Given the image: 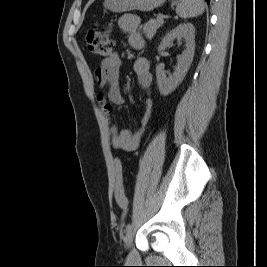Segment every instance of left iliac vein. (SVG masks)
I'll return each instance as SVG.
<instances>
[{
  "instance_id": "left-iliac-vein-1",
  "label": "left iliac vein",
  "mask_w": 267,
  "mask_h": 267,
  "mask_svg": "<svg viewBox=\"0 0 267 267\" xmlns=\"http://www.w3.org/2000/svg\"><path fill=\"white\" fill-rule=\"evenodd\" d=\"M133 238H134V232H133L132 230H130V231L126 234V236H125V238H124V243H125V246H126L127 248H129V247L131 246L132 241H133Z\"/></svg>"
}]
</instances>
